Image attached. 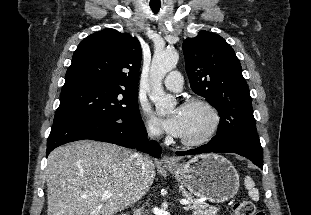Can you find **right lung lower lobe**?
Here are the masks:
<instances>
[{"mask_svg":"<svg viewBox=\"0 0 311 215\" xmlns=\"http://www.w3.org/2000/svg\"><path fill=\"white\" fill-rule=\"evenodd\" d=\"M83 139L137 148L156 158L161 155V147L158 143L147 141L146 129L141 116L131 122L90 119H67L54 122L47 140L46 155L62 144Z\"/></svg>","mask_w":311,"mask_h":215,"instance_id":"right-lung-lower-lobe-1","label":"right lung lower lobe"}]
</instances>
